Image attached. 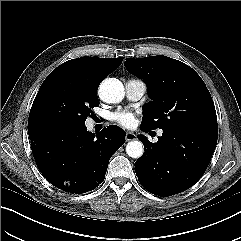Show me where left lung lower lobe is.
<instances>
[{
  "mask_svg": "<svg viewBox=\"0 0 241 241\" xmlns=\"http://www.w3.org/2000/svg\"><path fill=\"white\" fill-rule=\"evenodd\" d=\"M217 137L214 132L178 127L163 129L157 143L138 136L145 149L135 162L138 180L146 190L159 196H171L189 189L208 167Z\"/></svg>",
  "mask_w": 241,
  "mask_h": 241,
  "instance_id": "0a47b994",
  "label": "left lung lower lobe"
}]
</instances>
